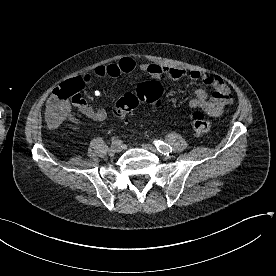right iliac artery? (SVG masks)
I'll use <instances>...</instances> for the list:
<instances>
[{
    "mask_svg": "<svg viewBox=\"0 0 276 276\" xmlns=\"http://www.w3.org/2000/svg\"><path fill=\"white\" fill-rule=\"evenodd\" d=\"M112 146H122V141L119 139L113 138L111 142V147Z\"/></svg>",
    "mask_w": 276,
    "mask_h": 276,
    "instance_id": "82829eb1",
    "label": "right iliac artery"
}]
</instances>
